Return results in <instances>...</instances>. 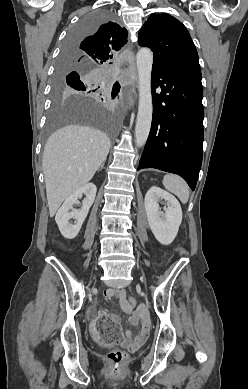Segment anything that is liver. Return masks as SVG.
Returning <instances> with one entry per match:
<instances>
[{
    "label": "liver",
    "instance_id": "6515ba94",
    "mask_svg": "<svg viewBox=\"0 0 248 389\" xmlns=\"http://www.w3.org/2000/svg\"><path fill=\"white\" fill-rule=\"evenodd\" d=\"M110 146L105 133L89 126L69 125L49 137L42 168L51 217L65 199L93 178Z\"/></svg>",
    "mask_w": 248,
    "mask_h": 389
}]
</instances>
